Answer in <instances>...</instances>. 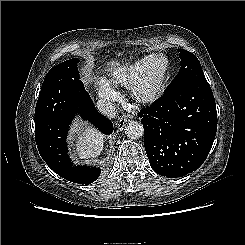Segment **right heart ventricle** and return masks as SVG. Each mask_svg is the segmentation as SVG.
<instances>
[{"instance_id": "1", "label": "right heart ventricle", "mask_w": 245, "mask_h": 245, "mask_svg": "<svg viewBox=\"0 0 245 245\" xmlns=\"http://www.w3.org/2000/svg\"><path fill=\"white\" fill-rule=\"evenodd\" d=\"M149 56L142 57L131 63L119 66L110 74V83L120 86H131L143 70Z\"/></svg>"}]
</instances>
